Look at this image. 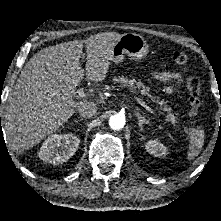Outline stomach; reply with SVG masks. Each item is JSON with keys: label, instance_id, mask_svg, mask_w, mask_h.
<instances>
[{"label": "stomach", "instance_id": "stomach-1", "mask_svg": "<svg viewBox=\"0 0 221 221\" xmlns=\"http://www.w3.org/2000/svg\"><path fill=\"white\" fill-rule=\"evenodd\" d=\"M148 54V44L139 34L126 33L115 42L111 51V61L119 64L125 55L132 59L139 60Z\"/></svg>", "mask_w": 221, "mask_h": 221}]
</instances>
